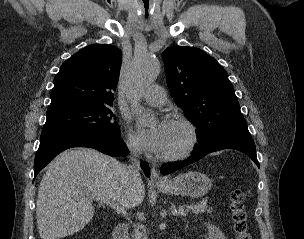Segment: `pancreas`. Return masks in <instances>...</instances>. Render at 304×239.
Listing matches in <instances>:
<instances>
[{"label":"pancreas","instance_id":"obj_1","mask_svg":"<svg viewBox=\"0 0 304 239\" xmlns=\"http://www.w3.org/2000/svg\"><path fill=\"white\" fill-rule=\"evenodd\" d=\"M187 209L191 210L192 214H201L204 212H210L211 208L207 205L206 202H198L194 205H185ZM134 239H147L146 228L142 224H137L134 232H133Z\"/></svg>","mask_w":304,"mask_h":239}]
</instances>
